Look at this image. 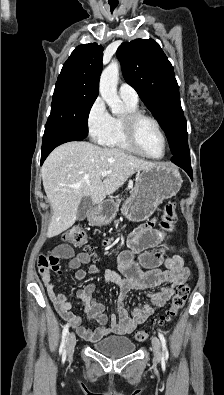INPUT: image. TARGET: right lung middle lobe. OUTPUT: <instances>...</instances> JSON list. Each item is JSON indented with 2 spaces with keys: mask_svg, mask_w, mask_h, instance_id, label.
<instances>
[{
  "mask_svg": "<svg viewBox=\"0 0 224 395\" xmlns=\"http://www.w3.org/2000/svg\"><path fill=\"white\" fill-rule=\"evenodd\" d=\"M98 93L56 83L51 114L46 125L64 126L73 133L88 135V116Z\"/></svg>",
  "mask_w": 224,
  "mask_h": 395,
  "instance_id": "right-lung-middle-lobe-1",
  "label": "right lung middle lobe"
}]
</instances>
